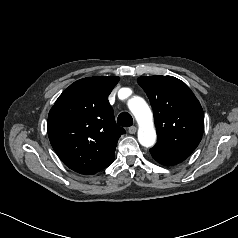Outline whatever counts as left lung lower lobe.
Segmentation results:
<instances>
[{
    "label": "left lung lower lobe",
    "instance_id": "0a47b994",
    "mask_svg": "<svg viewBox=\"0 0 238 238\" xmlns=\"http://www.w3.org/2000/svg\"><path fill=\"white\" fill-rule=\"evenodd\" d=\"M150 153L157 162L165 166L175 165L186 159L185 157L170 155L156 149H150Z\"/></svg>",
    "mask_w": 238,
    "mask_h": 238
}]
</instances>
